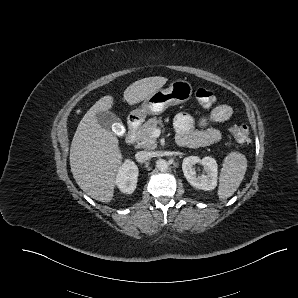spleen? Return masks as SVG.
<instances>
[{
	"label": "spleen",
	"instance_id": "spleen-1",
	"mask_svg": "<svg viewBox=\"0 0 298 298\" xmlns=\"http://www.w3.org/2000/svg\"><path fill=\"white\" fill-rule=\"evenodd\" d=\"M245 157L233 153L226 157L220 174L218 194L220 199L231 196L241 183L246 171Z\"/></svg>",
	"mask_w": 298,
	"mask_h": 298
}]
</instances>
